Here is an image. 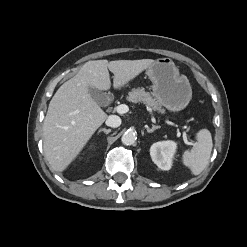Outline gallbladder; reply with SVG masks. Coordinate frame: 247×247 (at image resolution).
Listing matches in <instances>:
<instances>
[{
    "instance_id": "1",
    "label": "gallbladder",
    "mask_w": 247,
    "mask_h": 247,
    "mask_svg": "<svg viewBox=\"0 0 247 247\" xmlns=\"http://www.w3.org/2000/svg\"><path fill=\"white\" fill-rule=\"evenodd\" d=\"M89 92L92 96V98L100 105L105 104L107 100V95L103 91H100L95 88H89Z\"/></svg>"
}]
</instances>
